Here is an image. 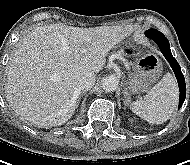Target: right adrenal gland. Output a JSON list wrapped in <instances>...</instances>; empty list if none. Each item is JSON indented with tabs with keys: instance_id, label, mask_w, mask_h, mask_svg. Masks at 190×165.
<instances>
[{
	"instance_id": "right-adrenal-gland-1",
	"label": "right adrenal gland",
	"mask_w": 190,
	"mask_h": 165,
	"mask_svg": "<svg viewBox=\"0 0 190 165\" xmlns=\"http://www.w3.org/2000/svg\"><path fill=\"white\" fill-rule=\"evenodd\" d=\"M82 95H83L82 93L78 95V99H77V104H76V106L79 105V102H80V99H81Z\"/></svg>"
}]
</instances>
